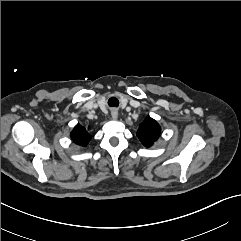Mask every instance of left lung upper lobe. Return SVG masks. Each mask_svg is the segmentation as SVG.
Wrapping results in <instances>:
<instances>
[{"mask_svg":"<svg viewBox=\"0 0 241 241\" xmlns=\"http://www.w3.org/2000/svg\"><path fill=\"white\" fill-rule=\"evenodd\" d=\"M160 131L161 128L159 124L154 119L147 117L145 121L140 124L137 136L142 144L148 148L158 139Z\"/></svg>","mask_w":241,"mask_h":241,"instance_id":"1","label":"left lung upper lobe"}]
</instances>
